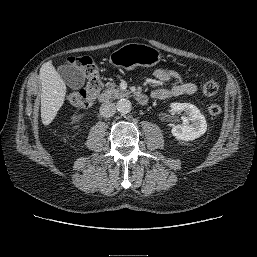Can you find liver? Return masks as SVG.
Returning <instances> with one entry per match:
<instances>
[{"label":"liver","instance_id":"1","mask_svg":"<svg viewBox=\"0 0 257 257\" xmlns=\"http://www.w3.org/2000/svg\"><path fill=\"white\" fill-rule=\"evenodd\" d=\"M41 79V119L49 125L64 103L66 85L52 62H46L40 69Z\"/></svg>","mask_w":257,"mask_h":257}]
</instances>
